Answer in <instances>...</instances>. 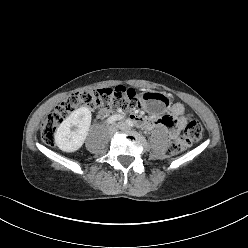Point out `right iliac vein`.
I'll list each match as a JSON object with an SVG mask.
<instances>
[{
	"label": "right iliac vein",
	"instance_id": "1",
	"mask_svg": "<svg viewBox=\"0 0 248 248\" xmlns=\"http://www.w3.org/2000/svg\"><path fill=\"white\" fill-rule=\"evenodd\" d=\"M118 129V126L117 125H112L110 128H109V135L112 136L116 133Z\"/></svg>",
	"mask_w": 248,
	"mask_h": 248
}]
</instances>
